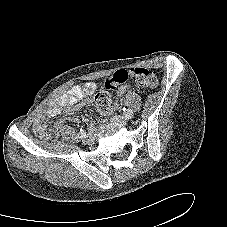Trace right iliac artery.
Instances as JSON below:
<instances>
[{"mask_svg":"<svg viewBox=\"0 0 227 227\" xmlns=\"http://www.w3.org/2000/svg\"><path fill=\"white\" fill-rule=\"evenodd\" d=\"M85 135H86V131L84 129H81L80 132H79V135H78L79 138L82 139L83 137H85Z\"/></svg>","mask_w":227,"mask_h":227,"instance_id":"82829eb1","label":"right iliac artery"}]
</instances>
